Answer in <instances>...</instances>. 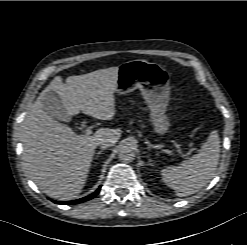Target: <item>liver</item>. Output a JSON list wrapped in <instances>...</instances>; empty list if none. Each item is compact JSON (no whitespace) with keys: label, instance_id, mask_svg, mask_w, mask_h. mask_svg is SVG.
I'll use <instances>...</instances> for the list:
<instances>
[{"label":"liver","instance_id":"obj_1","mask_svg":"<svg viewBox=\"0 0 247 245\" xmlns=\"http://www.w3.org/2000/svg\"><path fill=\"white\" fill-rule=\"evenodd\" d=\"M118 69L69 76L65 83L56 76L27 112L21 125L23 164L30 178L49 197L63 201L75 198L86 183L99 142L108 140L113 146L122 131L100 128L92 136L77 135L43 110L44 94L57 93L69 116L82 111L100 120H113Z\"/></svg>","mask_w":247,"mask_h":245}]
</instances>
